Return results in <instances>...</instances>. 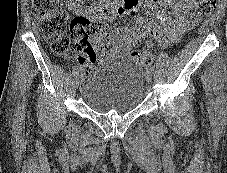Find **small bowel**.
I'll return each instance as SVG.
<instances>
[{
	"label": "small bowel",
	"instance_id": "small-bowel-1",
	"mask_svg": "<svg viewBox=\"0 0 227 173\" xmlns=\"http://www.w3.org/2000/svg\"><path fill=\"white\" fill-rule=\"evenodd\" d=\"M140 6L156 15L159 26L147 17H138L133 27L125 26L116 32L103 33L106 43L101 36L93 37L94 49L102 58L131 56V44L150 36L158 37L163 45L170 46L200 21L195 0H132L121 15L133 14ZM95 60V55L92 58L79 56V63L84 68H90Z\"/></svg>",
	"mask_w": 227,
	"mask_h": 173
}]
</instances>
